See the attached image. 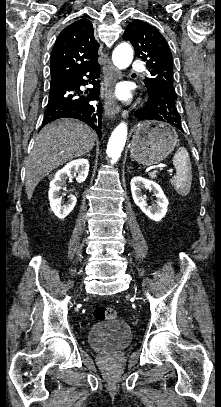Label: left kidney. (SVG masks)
Instances as JSON below:
<instances>
[{"instance_id": "1", "label": "left kidney", "mask_w": 221, "mask_h": 407, "mask_svg": "<svg viewBox=\"0 0 221 407\" xmlns=\"http://www.w3.org/2000/svg\"><path fill=\"white\" fill-rule=\"evenodd\" d=\"M131 193L135 204L151 220L160 221L167 212L168 199L164 195L161 187L154 181L136 176L131 180ZM143 189H148L154 193L158 199L156 204L148 206L142 194Z\"/></svg>"}]
</instances>
